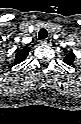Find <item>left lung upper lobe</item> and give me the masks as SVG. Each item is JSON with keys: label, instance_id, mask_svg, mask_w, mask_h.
Here are the masks:
<instances>
[{"label": "left lung upper lobe", "instance_id": "obj_1", "mask_svg": "<svg viewBox=\"0 0 81 124\" xmlns=\"http://www.w3.org/2000/svg\"><path fill=\"white\" fill-rule=\"evenodd\" d=\"M75 59V55L72 51H70L65 57H64V62L68 65H73Z\"/></svg>", "mask_w": 81, "mask_h": 124}]
</instances>
